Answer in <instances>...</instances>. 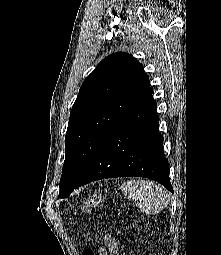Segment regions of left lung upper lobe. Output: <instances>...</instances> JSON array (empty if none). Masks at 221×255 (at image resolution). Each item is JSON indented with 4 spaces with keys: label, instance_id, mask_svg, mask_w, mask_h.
Listing matches in <instances>:
<instances>
[{
    "label": "left lung upper lobe",
    "instance_id": "5c2ea615",
    "mask_svg": "<svg viewBox=\"0 0 221 255\" xmlns=\"http://www.w3.org/2000/svg\"><path fill=\"white\" fill-rule=\"evenodd\" d=\"M152 91L143 66L132 55L113 53L97 65L71 109L60 198L72 193L111 128Z\"/></svg>",
    "mask_w": 221,
    "mask_h": 255
}]
</instances>
